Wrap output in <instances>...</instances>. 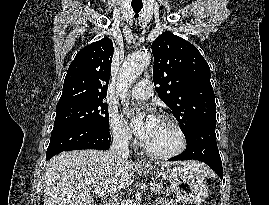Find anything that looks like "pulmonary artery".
I'll return each instance as SVG.
<instances>
[{
	"instance_id": "obj_1",
	"label": "pulmonary artery",
	"mask_w": 269,
	"mask_h": 205,
	"mask_svg": "<svg viewBox=\"0 0 269 205\" xmlns=\"http://www.w3.org/2000/svg\"><path fill=\"white\" fill-rule=\"evenodd\" d=\"M133 97L141 100H147L153 96L152 84L149 80L139 81L131 91Z\"/></svg>"
}]
</instances>
